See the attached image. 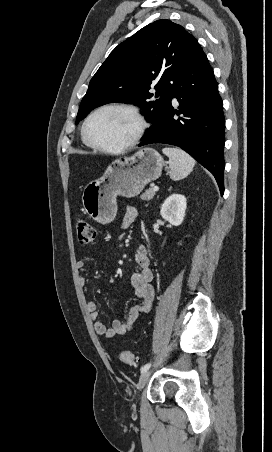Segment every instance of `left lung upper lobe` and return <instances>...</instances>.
<instances>
[{"mask_svg": "<svg viewBox=\"0 0 272 452\" xmlns=\"http://www.w3.org/2000/svg\"><path fill=\"white\" fill-rule=\"evenodd\" d=\"M197 44L182 26L169 20L143 27L119 44L93 76L76 123L98 106L123 102L140 106L153 124L164 113L173 84Z\"/></svg>", "mask_w": 272, "mask_h": 452, "instance_id": "left-lung-upper-lobe-1", "label": "left lung upper lobe"}]
</instances>
